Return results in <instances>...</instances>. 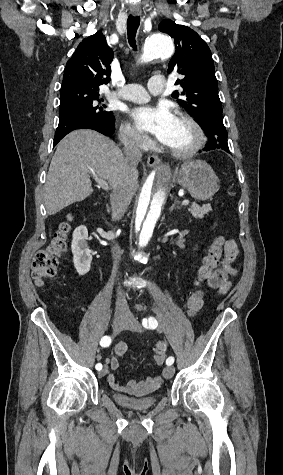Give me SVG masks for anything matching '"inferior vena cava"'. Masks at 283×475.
Here are the masks:
<instances>
[{
    "label": "inferior vena cava",
    "mask_w": 283,
    "mask_h": 475,
    "mask_svg": "<svg viewBox=\"0 0 283 475\" xmlns=\"http://www.w3.org/2000/svg\"><path fill=\"white\" fill-rule=\"evenodd\" d=\"M129 142L125 144L124 156L126 162V168L124 170L125 176H135L137 174L138 162L142 158V140L143 136L140 132H129ZM111 194V208H112V220H119L126 212L133 196L134 190L129 178H122L118 180L115 186H113ZM113 259L115 263H118L120 259V247L119 245H113L112 247ZM116 311H129L127 299L124 295L123 289H120V285L117 291Z\"/></svg>",
    "instance_id": "602c4592"
}]
</instances>
